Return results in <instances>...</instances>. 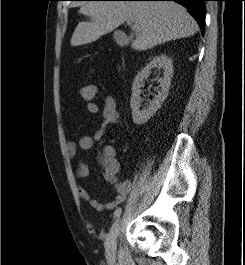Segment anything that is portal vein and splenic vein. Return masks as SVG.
Masks as SVG:
<instances>
[{
  "label": "portal vein and splenic vein",
  "instance_id": "18ae733b",
  "mask_svg": "<svg viewBox=\"0 0 245 265\" xmlns=\"http://www.w3.org/2000/svg\"><path fill=\"white\" fill-rule=\"evenodd\" d=\"M127 24L130 25V24H132V22L131 21H127Z\"/></svg>",
  "mask_w": 245,
  "mask_h": 265
}]
</instances>
